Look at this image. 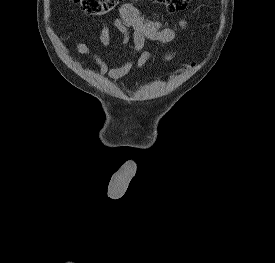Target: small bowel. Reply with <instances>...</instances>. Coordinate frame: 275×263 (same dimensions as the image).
<instances>
[{
    "label": "small bowel",
    "instance_id": "small-bowel-1",
    "mask_svg": "<svg viewBox=\"0 0 275 263\" xmlns=\"http://www.w3.org/2000/svg\"><path fill=\"white\" fill-rule=\"evenodd\" d=\"M114 27L122 35V44L125 48L130 40L133 45L131 56L123 64L115 67H109L108 62L98 55L92 54L88 45L84 42L76 43V50L82 55L91 56L98 67V73L106 76L111 80H117L129 73L134 65L138 69L143 68L151 59L152 54L144 50L148 42L169 43L176 36L177 27H163L157 18H144L140 15L137 8L131 3H124L119 7V16L113 22ZM187 20L183 19L179 27H185ZM100 43L103 47L110 44V28L107 23H103L99 36ZM138 58H136V56ZM174 58L173 52L164 55L163 60L168 62Z\"/></svg>",
    "mask_w": 275,
    "mask_h": 263
}]
</instances>
